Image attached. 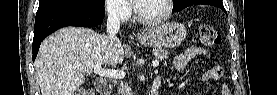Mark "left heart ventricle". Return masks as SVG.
Listing matches in <instances>:
<instances>
[{
  "label": "left heart ventricle",
  "mask_w": 277,
  "mask_h": 95,
  "mask_svg": "<svg viewBox=\"0 0 277 95\" xmlns=\"http://www.w3.org/2000/svg\"><path fill=\"white\" fill-rule=\"evenodd\" d=\"M138 12L145 18H157L164 15L166 4L164 0H141L137 4Z\"/></svg>",
  "instance_id": "1"
}]
</instances>
